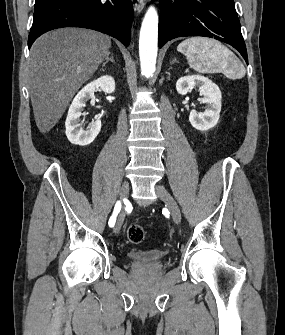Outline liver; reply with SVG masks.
Wrapping results in <instances>:
<instances>
[{
  "label": "liver",
  "instance_id": "1",
  "mask_svg": "<svg viewBox=\"0 0 285 335\" xmlns=\"http://www.w3.org/2000/svg\"><path fill=\"white\" fill-rule=\"evenodd\" d=\"M111 40L85 28L43 34L29 56L28 88L36 126L49 132L62 118L77 90L110 54Z\"/></svg>",
  "mask_w": 285,
  "mask_h": 335
}]
</instances>
